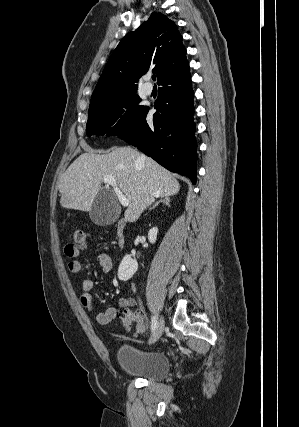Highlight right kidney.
I'll return each mask as SVG.
<instances>
[{
	"label": "right kidney",
	"instance_id": "obj_1",
	"mask_svg": "<svg viewBox=\"0 0 299 427\" xmlns=\"http://www.w3.org/2000/svg\"><path fill=\"white\" fill-rule=\"evenodd\" d=\"M158 228L154 227L148 232V240L150 243H155L157 239ZM138 269V263L135 259H132L129 255H125L122 259L119 269L118 278L122 281H127L136 273Z\"/></svg>",
	"mask_w": 299,
	"mask_h": 427
}]
</instances>
